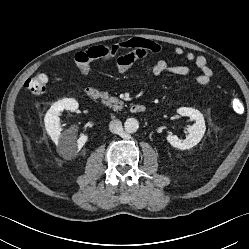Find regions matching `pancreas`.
Here are the masks:
<instances>
[{"mask_svg": "<svg viewBox=\"0 0 249 249\" xmlns=\"http://www.w3.org/2000/svg\"><path fill=\"white\" fill-rule=\"evenodd\" d=\"M101 97L103 99V103L113 108L114 111L121 110L123 108L124 103L116 97L109 96L107 92L103 93Z\"/></svg>", "mask_w": 249, "mask_h": 249, "instance_id": "1", "label": "pancreas"}]
</instances>
